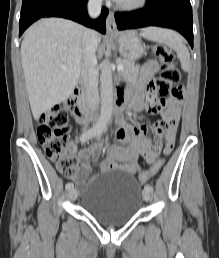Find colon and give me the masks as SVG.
I'll return each mask as SVG.
<instances>
[{"label": "colon", "mask_w": 219, "mask_h": 258, "mask_svg": "<svg viewBox=\"0 0 219 258\" xmlns=\"http://www.w3.org/2000/svg\"><path fill=\"white\" fill-rule=\"evenodd\" d=\"M154 54L161 62L160 75L154 85L161 97L183 95L181 71L176 64L175 56L165 45L157 44L153 47ZM37 135L46 155L56 163L59 171L67 177H73L77 172V162L70 155L71 142L68 133L71 130L69 117L66 111L52 107L38 118ZM164 160H156L148 171L140 172L138 180L147 182L162 169Z\"/></svg>", "instance_id": "obj_1"}]
</instances>
